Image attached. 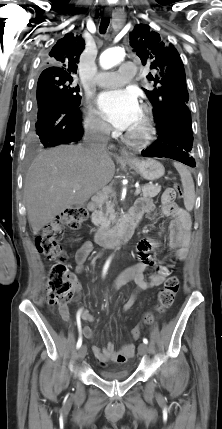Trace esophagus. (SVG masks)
<instances>
[{
  "mask_svg": "<svg viewBox=\"0 0 222 429\" xmlns=\"http://www.w3.org/2000/svg\"><path fill=\"white\" fill-rule=\"evenodd\" d=\"M112 16H113L114 19H122L123 13L120 12V11H116V12H114L112 14ZM120 155H121V158H123V159H130V158H132V155L127 150H125V149H121L120 150Z\"/></svg>",
  "mask_w": 222,
  "mask_h": 429,
  "instance_id": "obj_1",
  "label": "esophagus"
}]
</instances>
